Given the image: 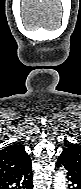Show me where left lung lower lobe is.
<instances>
[{
  "label": "left lung lower lobe",
  "mask_w": 81,
  "mask_h": 189,
  "mask_svg": "<svg viewBox=\"0 0 81 189\" xmlns=\"http://www.w3.org/2000/svg\"><path fill=\"white\" fill-rule=\"evenodd\" d=\"M57 168H63L67 171L68 187L70 189H81V172L76 170L69 160L61 153L56 162Z\"/></svg>",
  "instance_id": "0a47b994"
}]
</instances>
